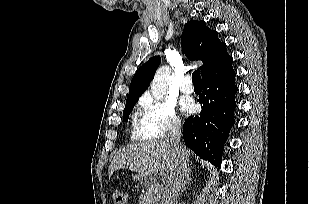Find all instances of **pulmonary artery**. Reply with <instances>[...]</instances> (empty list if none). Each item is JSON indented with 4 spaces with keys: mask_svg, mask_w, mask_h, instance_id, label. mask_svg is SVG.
<instances>
[{
    "mask_svg": "<svg viewBox=\"0 0 309 204\" xmlns=\"http://www.w3.org/2000/svg\"><path fill=\"white\" fill-rule=\"evenodd\" d=\"M179 89L185 94L193 93L194 86L192 83V79L189 76L184 77L179 85Z\"/></svg>",
    "mask_w": 309,
    "mask_h": 204,
    "instance_id": "1",
    "label": "pulmonary artery"
}]
</instances>
